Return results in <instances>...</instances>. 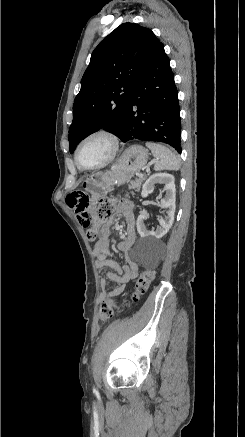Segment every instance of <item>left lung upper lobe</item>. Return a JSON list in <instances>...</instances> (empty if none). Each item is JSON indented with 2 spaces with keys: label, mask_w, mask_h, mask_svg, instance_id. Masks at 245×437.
Listing matches in <instances>:
<instances>
[{
  "label": "left lung upper lobe",
  "mask_w": 245,
  "mask_h": 437,
  "mask_svg": "<svg viewBox=\"0 0 245 437\" xmlns=\"http://www.w3.org/2000/svg\"><path fill=\"white\" fill-rule=\"evenodd\" d=\"M160 43L148 28L127 22L95 48L74 101L70 153L101 128L122 137L132 88Z\"/></svg>",
  "instance_id": "obj_1"
}]
</instances>
